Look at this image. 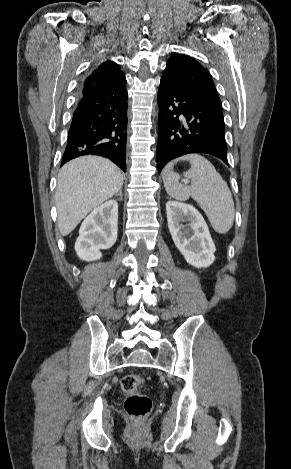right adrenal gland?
Instances as JSON below:
<instances>
[{"label":"right adrenal gland","instance_id":"obj_1","mask_svg":"<svg viewBox=\"0 0 291 469\" xmlns=\"http://www.w3.org/2000/svg\"><path fill=\"white\" fill-rule=\"evenodd\" d=\"M116 196H120V198L122 199V197H123L122 190H120L119 193L116 194Z\"/></svg>","mask_w":291,"mask_h":469}]
</instances>
